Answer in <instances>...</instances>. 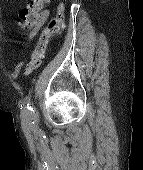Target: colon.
Instances as JSON below:
<instances>
[{
  "label": "colon",
  "mask_w": 143,
  "mask_h": 170,
  "mask_svg": "<svg viewBox=\"0 0 143 170\" xmlns=\"http://www.w3.org/2000/svg\"><path fill=\"white\" fill-rule=\"evenodd\" d=\"M42 0H31L28 6L20 10L19 20L24 26L30 25L37 16L41 8ZM64 27V6L60 3L56 8V14L50 19L48 26L41 32L35 50L31 56V61L27 67V73L38 69L44 59L49 39L59 34Z\"/></svg>",
  "instance_id": "obj_1"
}]
</instances>
